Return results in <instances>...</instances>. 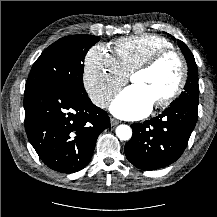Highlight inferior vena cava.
Wrapping results in <instances>:
<instances>
[{
  "label": "inferior vena cava",
  "instance_id": "602c4592",
  "mask_svg": "<svg viewBox=\"0 0 217 217\" xmlns=\"http://www.w3.org/2000/svg\"><path fill=\"white\" fill-rule=\"evenodd\" d=\"M109 101H110V96L106 93L100 94L92 98V102L96 106L101 107V108H105L109 104Z\"/></svg>",
  "mask_w": 217,
  "mask_h": 217
}]
</instances>
